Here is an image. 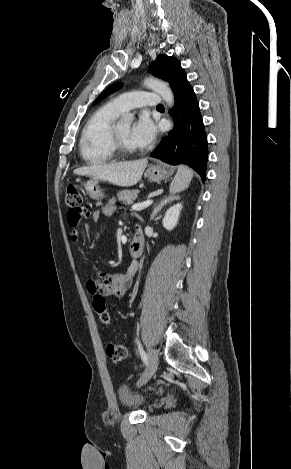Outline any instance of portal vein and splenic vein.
Instances as JSON below:
<instances>
[{"instance_id":"obj_1","label":"portal vein and splenic vein","mask_w":291,"mask_h":469,"mask_svg":"<svg viewBox=\"0 0 291 469\" xmlns=\"http://www.w3.org/2000/svg\"><path fill=\"white\" fill-rule=\"evenodd\" d=\"M152 203H153V200H147L145 202L136 203V204L132 205V209L136 210V211H140V210H143V209L147 208Z\"/></svg>"}]
</instances>
